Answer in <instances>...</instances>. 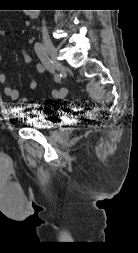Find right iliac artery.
Listing matches in <instances>:
<instances>
[{"label": "right iliac artery", "mask_w": 138, "mask_h": 253, "mask_svg": "<svg viewBox=\"0 0 138 253\" xmlns=\"http://www.w3.org/2000/svg\"><path fill=\"white\" fill-rule=\"evenodd\" d=\"M34 49H35V52H36L37 56L41 60L42 64L54 74V81L59 82L60 81V76H59V74L54 72L52 62L49 59L43 45L40 42H36L35 46H34Z\"/></svg>", "instance_id": "1"}]
</instances>
